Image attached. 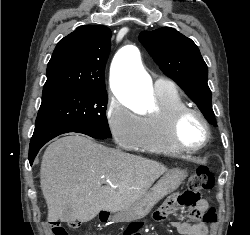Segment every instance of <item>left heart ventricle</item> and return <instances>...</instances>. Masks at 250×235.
I'll return each instance as SVG.
<instances>
[{"label": "left heart ventricle", "mask_w": 250, "mask_h": 235, "mask_svg": "<svg viewBox=\"0 0 250 235\" xmlns=\"http://www.w3.org/2000/svg\"><path fill=\"white\" fill-rule=\"evenodd\" d=\"M180 139L187 146H198L204 139L202 122L195 115L187 116L180 125Z\"/></svg>", "instance_id": "left-heart-ventricle-1"}]
</instances>
